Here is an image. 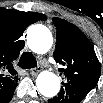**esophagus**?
<instances>
[{
  "mask_svg": "<svg viewBox=\"0 0 103 103\" xmlns=\"http://www.w3.org/2000/svg\"><path fill=\"white\" fill-rule=\"evenodd\" d=\"M40 70H41L40 67H38V68H33V69L31 70V73H32L33 75H36Z\"/></svg>",
  "mask_w": 103,
  "mask_h": 103,
  "instance_id": "1",
  "label": "esophagus"
}]
</instances>
